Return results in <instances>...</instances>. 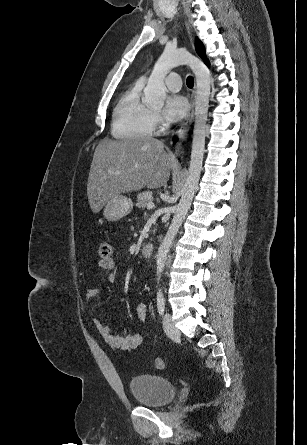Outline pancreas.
<instances>
[{
	"label": "pancreas",
	"instance_id": "cf45deb5",
	"mask_svg": "<svg viewBox=\"0 0 307 445\" xmlns=\"http://www.w3.org/2000/svg\"><path fill=\"white\" fill-rule=\"evenodd\" d=\"M152 200H153L152 190H146V192H139L137 196L136 206H139V208H145L148 202H152Z\"/></svg>",
	"mask_w": 307,
	"mask_h": 445
}]
</instances>
